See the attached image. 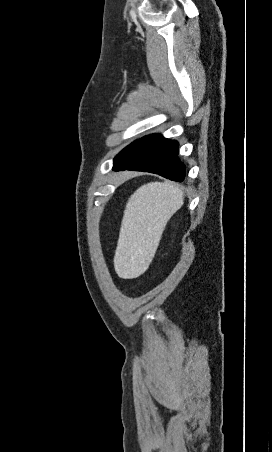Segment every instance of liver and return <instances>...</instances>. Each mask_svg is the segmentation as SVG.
Segmentation results:
<instances>
[{
	"mask_svg": "<svg viewBox=\"0 0 272 452\" xmlns=\"http://www.w3.org/2000/svg\"><path fill=\"white\" fill-rule=\"evenodd\" d=\"M183 203L184 193L169 182L144 184L131 195L114 256L120 278H137L149 268L167 222Z\"/></svg>",
	"mask_w": 272,
	"mask_h": 452,
	"instance_id": "obj_1",
	"label": "liver"
}]
</instances>
